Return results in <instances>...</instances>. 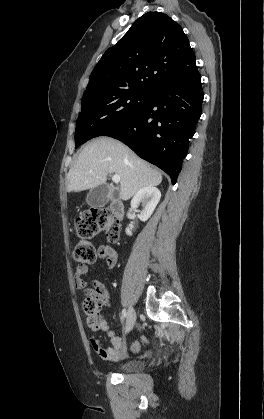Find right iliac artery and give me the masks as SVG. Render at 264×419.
Returning a JSON list of instances; mask_svg holds the SVG:
<instances>
[{"instance_id":"1","label":"right iliac artery","mask_w":264,"mask_h":419,"mask_svg":"<svg viewBox=\"0 0 264 419\" xmlns=\"http://www.w3.org/2000/svg\"><path fill=\"white\" fill-rule=\"evenodd\" d=\"M126 316H127V312H126V310H125V309H123V310H122V317H123V318H126Z\"/></svg>"}]
</instances>
